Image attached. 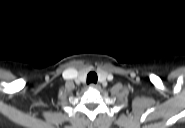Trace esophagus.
I'll return each instance as SVG.
<instances>
[{"instance_id":"esophagus-1","label":"esophagus","mask_w":185,"mask_h":128,"mask_svg":"<svg viewBox=\"0 0 185 128\" xmlns=\"http://www.w3.org/2000/svg\"><path fill=\"white\" fill-rule=\"evenodd\" d=\"M89 87H90V88H94V89H98L100 86H99V84L91 83V84L89 85Z\"/></svg>"}]
</instances>
